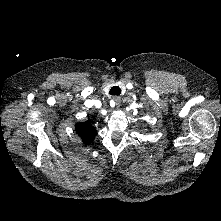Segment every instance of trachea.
<instances>
[{"label":"trachea","instance_id":"3493384b","mask_svg":"<svg viewBox=\"0 0 221 221\" xmlns=\"http://www.w3.org/2000/svg\"><path fill=\"white\" fill-rule=\"evenodd\" d=\"M120 93H121V89L119 86H113V87H111V89L109 91V94L116 95V96L120 95Z\"/></svg>","mask_w":221,"mask_h":221}]
</instances>
